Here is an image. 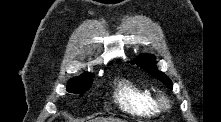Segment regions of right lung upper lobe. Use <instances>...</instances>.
Returning <instances> with one entry per match:
<instances>
[{"label":"right lung upper lobe","instance_id":"cb5924a9","mask_svg":"<svg viewBox=\"0 0 221 122\" xmlns=\"http://www.w3.org/2000/svg\"><path fill=\"white\" fill-rule=\"evenodd\" d=\"M87 74H90V73H85V74H83V76H84V75H87Z\"/></svg>","mask_w":221,"mask_h":122}]
</instances>
